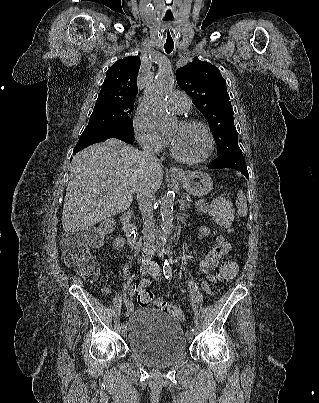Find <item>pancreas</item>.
<instances>
[{
  "label": "pancreas",
  "instance_id": "obj_1",
  "mask_svg": "<svg viewBox=\"0 0 319 403\" xmlns=\"http://www.w3.org/2000/svg\"><path fill=\"white\" fill-rule=\"evenodd\" d=\"M197 212H200L202 214H206L208 210V205L205 204L204 201H200L198 205L195 206Z\"/></svg>",
  "mask_w": 319,
  "mask_h": 403
}]
</instances>
